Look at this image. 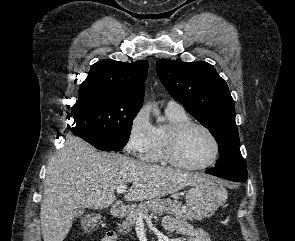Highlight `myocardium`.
<instances>
[{
	"label": "myocardium",
	"instance_id": "obj_1",
	"mask_svg": "<svg viewBox=\"0 0 295 241\" xmlns=\"http://www.w3.org/2000/svg\"><path fill=\"white\" fill-rule=\"evenodd\" d=\"M191 128H199L203 130L210 137L214 145V153L212 158L208 162L201 165H190L184 163L176 155V147L181 136ZM220 152V143L214 132L206 125L191 120L171 126L165 134L162 147L163 157L167 162L178 168L190 171H200L214 165L220 156Z\"/></svg>",
	"mask_w": 295,
	"mask_h": 241
}]
</instances>
